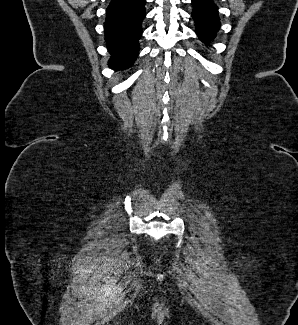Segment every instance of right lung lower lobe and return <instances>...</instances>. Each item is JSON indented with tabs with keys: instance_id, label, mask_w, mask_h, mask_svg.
<instances>
[{
	"instance_id": "98d812e1",
	"label": "right lung lower lobe",
	"mask_w": 298,
	"mask_h": 325,
	"mask_svg": "<svg viewBox=\"0 0 298 325\" xmlns=\"http://www.w3.org/2000/svg\"><path fill=\"white\" fill-rule=\"evenodd\" d=\"M146 0H111L104 23L105 40L112 57L109 66L128 68L136 60Z\"/></svg>"
}]
</instances>
